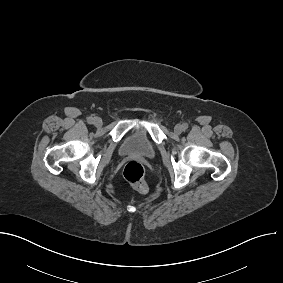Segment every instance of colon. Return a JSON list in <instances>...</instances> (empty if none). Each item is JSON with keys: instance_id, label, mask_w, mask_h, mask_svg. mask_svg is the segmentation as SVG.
I'll list each match as a JSON object with an SVG mask.
<instances>
[{"instance_id": "5ec220e1", "label": "colon", "mask_w": 283, "mask_h": 283, "mask_svg": "<svg viewBox=\"0 0 283 283\" xmlns=\"http://www.w3.org/2000/svg\"><path fill=\"white\" fill-rule=\"evenodd\" d=\"M145 170L141 163L131 161L127 163L123 170L124 178L132 184L138 192L145 194L148 191L147 183L144 179Z\"/></svg>"}]
</instances>
